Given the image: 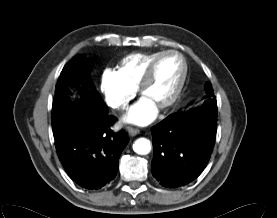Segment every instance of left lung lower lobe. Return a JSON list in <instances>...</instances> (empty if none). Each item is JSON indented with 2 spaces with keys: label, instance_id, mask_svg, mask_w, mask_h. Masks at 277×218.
<instances>
[{
  "label": "left lung lower lobe",
  "instance_id": "left-lung-lower-lobe-1",
  "mask_svg": "<svg viewBox=\"0 0 277 218\" xmlns=\"http://www.w3.org/2000/svg\"><path fill=\"white\" fill-rule=\"evenodd\" d=\"M217 106L202 105L169 115L152 129V174L164 187L196 179L206 167L216 139Z\"/></svg>",
  "mask_w": 277,
  "mask_h": 218
}]
</instances>
